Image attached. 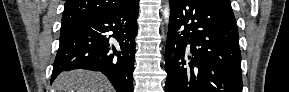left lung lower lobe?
<instances>
[{"mask_svg": "<svg viewBox=\"0 0 289 92\" xmlns=\"http://www.w3.org/2000/svg\"><path fill=\"white\" fill-rule=\"evenodd\" d=\"M166 92H242L232 9L213 0H170Z\"/></svg>", "mask_w": 289, "mask_h": 92, "instance_id": "0a47b994", "label": "left lung lower lobe"}]
</instances>
